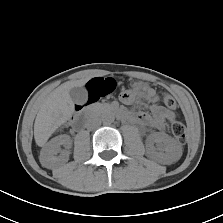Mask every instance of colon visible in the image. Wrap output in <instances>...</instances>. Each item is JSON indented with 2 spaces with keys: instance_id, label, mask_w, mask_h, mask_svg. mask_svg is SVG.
Listing matches in <instances>:
<instances>
[{
  "instance_id": "colon-1",
  "label": "colon",
  "mask_w": 223,
  "mask_h": 223,
  "mask_svg": "<svg viewBox=\"0 0 223 223\" xmlns=\"http://www.w3.org/2000/svg\"><path fill=\"white\" fill-rule=\"evenodd\" d=\"M88 102H96L101 97L111 94L115 90V82L112 79L91 80L87 86ZM163 103L166 107L173 109L176 107V101L170 95H164ZM172 134L180 143L186 142V129L185 126L179 121H172L169 125Z\"/></svg>"
}]
</instances>
